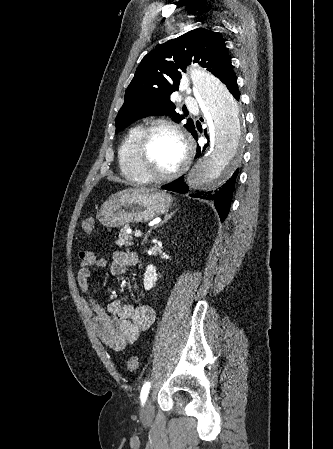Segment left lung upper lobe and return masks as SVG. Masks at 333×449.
Returning <instances> with one entry per match:
<instances>
[{
    "label": "left lung upper lobe",
    "instance_id": "1",
    "mask_svg": "<svg viewBox=\"0 0 333 449\" xmlns=\"http://www.w3.org/2000/svg\"><path fill=\"white\" fill-rule=\"evenodd\" d=\"M191 62H198L222 82L232 72L225 41L205 28L194 29L162 44L148 53L136 69L116 117V133L147 116L169 115L175 122L183 120L170 96L178 90L181 72ZM184 127L191 133L196 131L191 119Z\"/></svg>",
    "mask_w": 333,
    "mask_h": 449
}]
</instances>
